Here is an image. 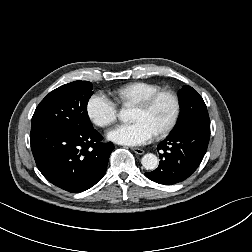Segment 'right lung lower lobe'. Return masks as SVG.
<instances>
[{
	"instance_id": "1",
	"label": "right lung lower lobe",
	"mask_w": 252,
	"mask_h": 252,
	"mask_svg": "<svg viewBox=\"0 0 252 252\" xmlns=\"http://www.w3.org/2000/svg\"><path fill=\"white\" fill-rule=\"evenodd\" d=\"M94 129H46L30 133L32 153L42 175L68 192H82L105 174L111 142Z\"/></svg>"
}]
</instances>
